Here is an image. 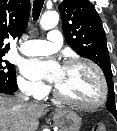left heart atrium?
I'll return each mask as SVG.
<instances>
[{
    "mask_svg": "<svg viewBox=\"0 0 117 131\" xmlns=\"http://www.w3.org/2000/svg\"><path fill=\"white\" fill-rule=\"evenodd\" d=\"M61 68L53 61L29 60L23 64V71L32 78H48L56 83Z\"/></svg>",
    "mask_w": 117,
    "mask_h": 131,
    "instance_id": "obj_1",
    "label": "left heart atrium"
}]
</instances>
